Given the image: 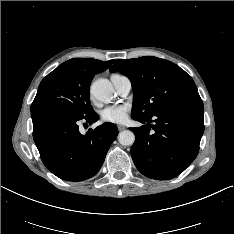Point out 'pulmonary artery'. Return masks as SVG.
I'll list each match as a JSON object with an SVG mask.
<instances>
[{
	"label": "pulmonary artery",
	"instance_id": "e3ab8cb5",
	"mask_svg": "<svg viewBox=\"0 0 234 234\" xmlns=\"http://www.w3.org/2000/svg\"><path fill=\"white\" fill-rule=\"evenodd\" d=\"M111 81L121 96L127 95L131 90V81L128 77L120 74H114L111 76Z\"/></svg>",
	"mask_w": 234,
	"mask_h": 234
}]
</instances>
